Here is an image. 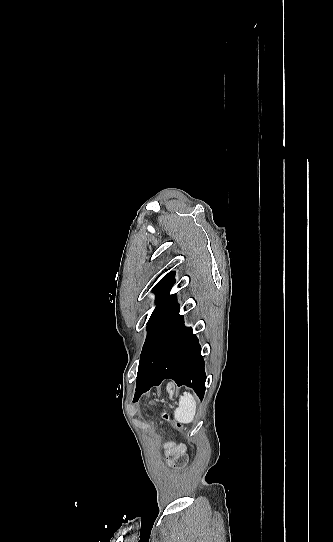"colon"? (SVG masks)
<instances>
[{
    "label": "colon",
    "mask_w": 333,
    "mask_h": 542,
    "mask_svg": "<svg viewBox=\"0 0 333 542\" xmlns=\"http://www.w3.org/2000/svg\"><path fill=\"white\" fill-rule=\"evenodd\" d=\"M162 418H163L164 420H168V419H169V416H168L167 413H164V414L162 415ZM177 428H178L179 430L181 429L180 426H177ZM179 461H180V456H179V455H176V456L174 457V459H173L172 462H173V464H174L175 466H177V465L179 464Z\"/></svg>",
    "instance_id": "1"
}]
</instances>
